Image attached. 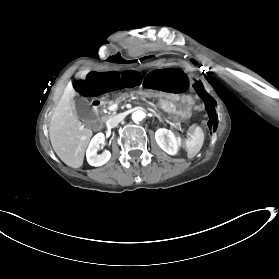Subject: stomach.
<instances>
[{"label": "stomach", "mask_w": 279, "mask_h": 279, "mask_svg": "<svg viewBox=\"0 0 279 279\" xmlns=\"http://www.w3.org/2000/svg\"><path fill=\"white\" fill-rule=\"evenodd\" d=\"M158 103L157 106L159 110L169 112V115L176 120H181L186 118L191 111V101L189 99L178 97L174 100L168 99L159 95L157 97Z\"/></svg>", "instance_id": "stomach-1"}]
</instances>
